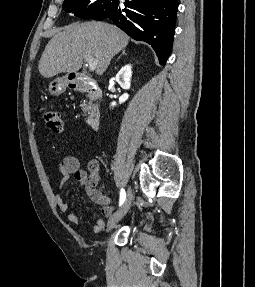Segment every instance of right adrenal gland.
<instances>
[{"label":"right adrenal gland","mask_w":255,"mask_h":287,"mask_svg":"<svg viewBox=\"0 0 255 287\" xmlns=\"http://www.w3.org/2000/svg\"><path fill=\"white\" fill-rule=\"evenodd\" d=\"M121 56H127V54H126L125 50H123V52H122ZM121 56H118L117 60H120Z\"/></svg>","instance_id":"2a0ac1e0"}]
</instances>
